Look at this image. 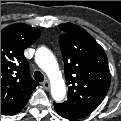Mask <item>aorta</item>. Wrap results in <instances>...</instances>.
<instances>
[{"label":"aorta","mask_w":121,"mask_h":121,"mask_svg":"<svg viewBox=\"0 0 121 121\" xmlns=\"http://www.w3.org/2000/svg\"><path fill=\"white\" fill-rule=\"evenodd\" d=\"M35 62L51 80L53 100L57 103L62 102L66 96V86L53 53L46 47H40L36 50Z\"/></svg>","instance_id":"1"}]
</instances>
